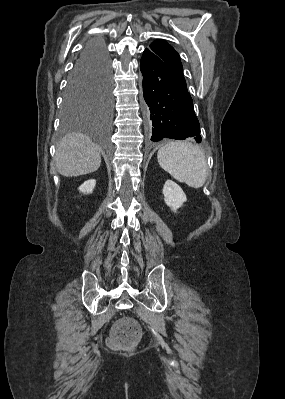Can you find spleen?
Segmentation results:
<instances>
[{"label":"spleen","instance_id":"1","mask_svg":"<svg viewBox=\"0 0 285 399\" xmlns=\"http://www.w3.org/2000/svg\"><path fill=\"white\" fill-rule=\"evenodd\" d=\"M158 163L179 182L200 188L207 178V162L204 152L196 145L173 141L157 153Z\"/></svg>","mask_w":285,"mask_h":399}]
</instances>
